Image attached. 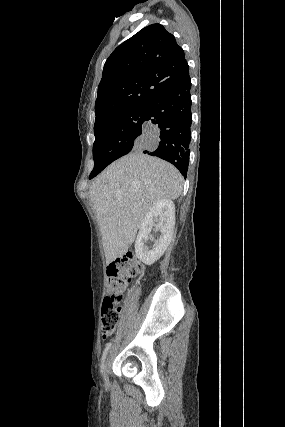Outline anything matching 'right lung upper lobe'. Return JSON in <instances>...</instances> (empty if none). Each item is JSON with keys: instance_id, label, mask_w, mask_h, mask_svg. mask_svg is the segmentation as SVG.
<instances>
[{"instance_id": "cb5924a9", "label": "right lung upper lobe", "mask_w": 285, "mask_h": 427, "mask_svg": "<svg viewBox=\"0 0 285 427\" xmlns=\"http://www.w3.org/2000/svg\"><path fill=\"white\" fill-rule=\"evenodd\" d=\"M189 75L183 49L160 24L147 26L119 45L104 64L95 103V125L148 104Z\"/></svg>"}]
</instances>
